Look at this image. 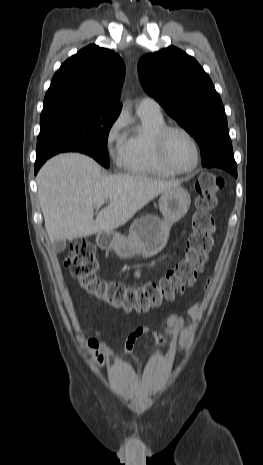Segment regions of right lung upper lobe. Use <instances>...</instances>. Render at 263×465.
<instances>
[{
    "mask_svg": "<svg viewBox=\"0 0 263 465\" xmlns=\"http://www.w3.org/2000/svg\"><path fill=\"white\" fill-rule=\"evenodd\" d=\"M125 65L118 54L89 45L64 62L52 78L44 105L74 102L121 110Z\"/></svg>",
    "mask_w": 263,
    "mask_h": 465,
    "instance_id": "cb5924a9",
    "label": "right lung upper lobe"
}]
</instances>
